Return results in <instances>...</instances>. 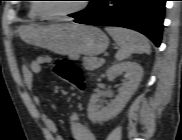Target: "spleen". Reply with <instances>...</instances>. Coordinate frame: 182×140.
I'll return each mask as SVG.
<instances>
[{"label": "spleen", "instance_id": "obj_1", "mask_svg": "<svg viewBox=\"0 0 182 140\" xmlns=\"http://www.w3.org/2000/svg\"><path fill=\"white\" fill-rule=\"evenodd\" d=\"M105 30L117 45L120 46V49L115 55L118 61L127 59L133 53L149 54L151 51L148 40L136 31L121 27H106Z\"/></svg>", "mask_w": 182, "mask_h": 140}]
</instances>
